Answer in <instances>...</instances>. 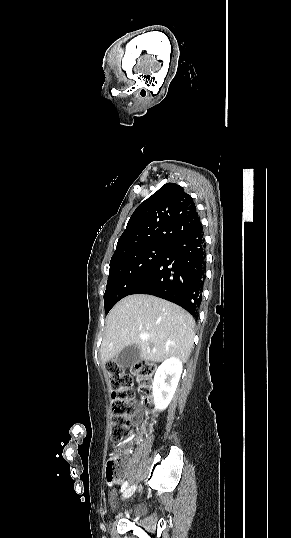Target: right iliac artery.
I'll return each mask as SVG.
<instances>
[{
  "instance_id": "right-iliac-artery-1",
  "label": "right iliac artery",
  "mask_w": 291,
  "mask_h": 538,
  "mask_svg": "<svg viewBox=\"0 0 291 538\" xmlns=\"http://www.w3.org/2000/svg\"><path fill=\"white\" fill-rule=\"evenodd\" d=\"M127 485H128V481H125L122 485L121 492H123L126 489Z\"/></svg>"
}]
</instances>
